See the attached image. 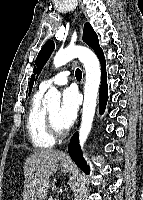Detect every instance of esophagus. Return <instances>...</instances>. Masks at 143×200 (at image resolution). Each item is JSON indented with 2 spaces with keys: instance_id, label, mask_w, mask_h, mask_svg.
Masks as SVG:
<instances>
[{
  "instance_id": "1",
  "label": "esophagus",
  "mask_w": 143,
  "mask_h": 200,
  "mask_svg": "<svg viewBox=\"0 0 143 200\" xmlns=\"http://www.w3.org/2000/svg\"><path fill=\"white\" fill-rule=\"evenodd\" d=\"M79 29H80V32H82L83 25H82V23H81V20H80V24H79ZM63 159H64L65 161H68V160H69L68 155L64 154V155H63Z\"/></svg>"
}]
</instances>
